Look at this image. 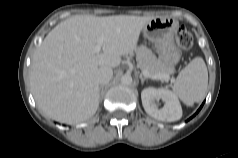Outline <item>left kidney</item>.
Here are the masks:
<instances>
[{
	"instance_id": "obj_1",
	"label": "left kidney",
	"mask_w": 238,
	"mask_h": 158,
	"mask_svg": "<svg viewBox=\"0 0 238 158\" xmlns=\"http://www.w3.org/2000/svg\"><path fill=\"white\" fill-rule=\"evenodd\" d=\"M141 99L146 113L157 120L173 122L182 117V108L178 98L167 89L145 88L141 92ZM158 99L165 103L160 109L155 103Z\"/></svg>"
}]
</instances>
